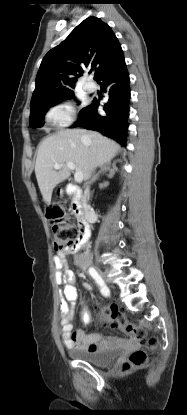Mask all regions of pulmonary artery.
Listing matches in <instances>:
<instances>
[{
  "label": "pulmonary artery",
  "mask_w": 187,
  "mask_h": 415,
  "mask_svg": "<svg viewBox=\"0 0 187 415\" xmlns=\"http://www.w3.org/2000/svg\"><path fill=\"white\" fill-rule=\"evenodd\" d=\"M84 89L87 92H93V91H95L96 87H95V85L92 82H86L84 84Z\"/></svg>",
  "instance_id": "1"
}]
</instances>
